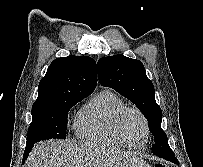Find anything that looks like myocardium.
<instances>
[{
	"instance_id": "1",
	"label": "myocardium",
	"mask_w": 203,
	"mask_h": 167,
	"mask_svg": "<svg viewBox=\"0 0 203 167\" xmlns=\"http://www.w3.org/2000/svg\"><path fill=\"white\" fill-rule=\"evenodd\" d=\"M128 112H134L136 113L142 120L143 122V125H144V130H145V138H144V141L141 143V144H133L131 143L127 138L126 136L123 134L122 130H121V127H120V123H121V120L123 118V116L128 113ZM113 128H114V131L115 133L118 135V137L120 139H122L127 145H129L130 147H133V148H141L143 147L148 139H149V135H150V127H149V121L147 119V117L145 116V114L137 107L135 106H124L123 108H121L114 120H113Z\"/></svg>"
}]
</instances>
